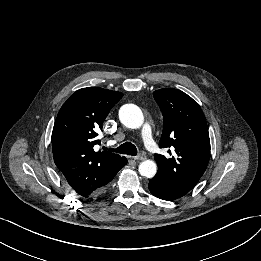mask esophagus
I'll list each match as a JSON object with an SVG mask.
<instances>
[{
	"instance_id": "obj_1",
	"label": "esophagus",
	"mask_w": 261,
	"mask_h": 261,
	"mask_svg": "<svg viewBox=\"0 0 261 261\" xmlns=\"http://www.w3.org/2000/svg\"><path fill=\"white\" fill-rule=\"evenodd\" d=\"M145 158H146V157H145V155H144L143 153H140L139 155L132 157V159H134V160H136V161H142V160H144Z\"/></svg>"
}]
</instances>
